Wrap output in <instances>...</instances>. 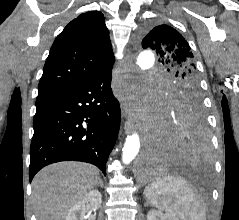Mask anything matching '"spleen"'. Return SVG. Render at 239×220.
Instances as JSON below:
<instances>
[{"label":"spleen","instance_id":"obj_1","mask_svg":"<svg viewBox=\"0 0 239 220\" xmlns=\"http://www.w3.org/2000/svg\"><path fill=\"white\" fill-rule=\"evenodd\" d=\"M144 195L154 207L181 220H206L204 202L181 177L158 178L145 187Z\"/></svg>","mask_w":239,"mask_h":220}]
</instances>
